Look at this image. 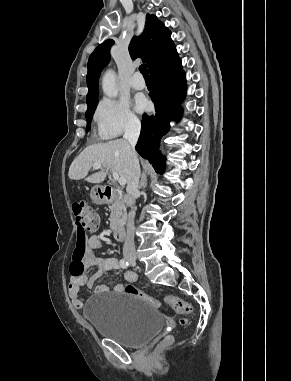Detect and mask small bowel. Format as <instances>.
Listing matches in <instances>:
<instances>
[{
    "mask_svg": "<svg viewBox=\"0 0 291 381\" xmlns=\"http://www.w3.org/2000/svg\"><path fill=\"white\" fill-rule=\"evenodd\" d=\"M103 246L102 239L97 235H92L87 239V250L83 256L82 262L86 268L96 269L95 273L91 276L83 274L73 275L68 283V295L71 299L72 305L76 309H81L84 305V298L81 294L83 286L92 287L100 278L103 272L111 271L118 273L120 271L119 262L116 258H97L93 254V250L100 249ZM124 278L128 282H136L137 274L135 272H126ZM123 284L119 283L114 286L115 292L123 291ZM108 290L105 284L96 286L97 293H103Z\"/></svg>",
    "mask_w": 291,
    "mask_h": 381,
    "instance_id": "small-bowel-1",
    "label": "small bowel"
}]
</instances>
